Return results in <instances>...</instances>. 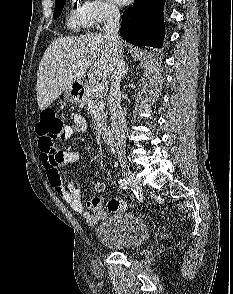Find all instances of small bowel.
Returning a JSON list of instances; mask_svg holds the SVG:
<instances>
[{
	"instance_id": "obj_1",
	"label": "small bowel",
	"mask_w": 233,
	"mask_h": 294,
	"mask_svg": "<svg viewBox=\"0 0 233 294\" xmlns=\"http://www.w3.org/2000/svg\"><path fill=\"white\" fill-rule=\"evenodd\" d=\"M72 125L64 127L61 140L70 139L75 133H84L87 130L86 120L79 114L71 115ZM56 155L52 156L41 151L40 160L45 170L50 186L61 196V198L72 208L73 211L82 214L89 225H95L100 220L107 217V212L103 209L104 200L101 197H93L88 202L90 211H86L81 200V190L73 185H65L60 176V169L80 161V154L71 149L64 151L55 150ZM106 188L104 182H98L93 187L94 192H102ZM120 201L123 206L124 202Z\"/></svg>"
}]
</instances>
